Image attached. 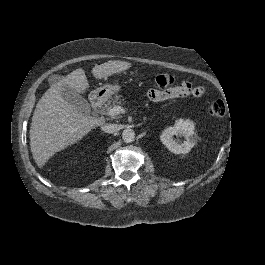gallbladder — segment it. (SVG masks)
<instances>
[{
	"mask_svg": "<svg viewBox=\"0 0 265 265\" xmlns=\"http://www.w3.org/2000/svg\"><path fill=\"white\" fill-rule=\"evenodd\" d=\"M62 79L61 76L52 75L49 77V83L51 85L57 83ZM63 100L71 105H73L78 110L88 113L90 111V105L89 103L82 97L78 96L77 94H74L69 87L65 88V94L63 96Z\"/></svg>",
	"mask_w": 265,
	"mask_h": 265,
	"instance_id": "1",
	"label": "gallbladder"
}]
</instances>
